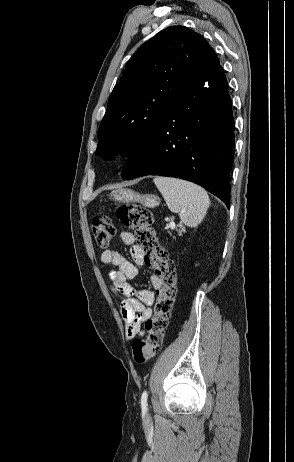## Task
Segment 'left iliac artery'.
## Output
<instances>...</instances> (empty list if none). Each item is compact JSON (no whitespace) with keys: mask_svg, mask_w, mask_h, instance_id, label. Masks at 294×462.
<instances>
[{"mask_svg":"<svg viewBox=\"0 0 294 462\" xmlns=\"http://www.w3.org/2000/svg\"><path fill=\"white\" fill-rule=\"evenodd\" d=\"M147 397H148V394H147V391H143L142 393V396H141V407H142V410L146 411L147 410Z\"/></svg>","mask_w":294,"mask_h":462,"instance_id":"1","label":"left iliac artery"}]
</instances>
